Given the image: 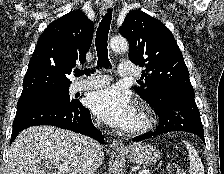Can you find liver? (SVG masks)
Masks as SVG:
<instances>
[{"mask_svg": "<svg viewBox=\"0 0 224 174\" xmlns=\"http://www.w3.org/2000/svg\"><path fill=\"white\" fill-rule=\"evenodd\" d=\"M84 136L54 126H33L23 130L9 149L8 174H49L41 165L52 163L53 174H81L97 170L103 162L101 147L94 155L84 150Z\"/></svg>", "mask_w": 224, "mask_h": 174, "instance_id": "obj_1", "label": "liver"}]
</instances>
